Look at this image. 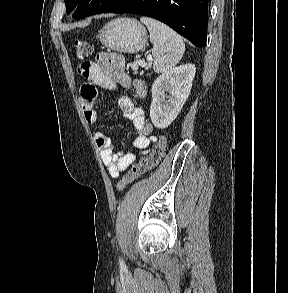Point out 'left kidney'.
<instances>
[{"instance_id": "obj_1", "label": "left kidney", "mask_w": 288, "mask_h": 293, "mask_svg": "<svg viewBox=\"0 0 288 293\" xmlns=\"http://www.w3.org/2000/svg\"><path fill=\"white\" fill-rule=\"evenodd\" d=\"M195 73L194 65L185 64L162 73L154 81L150 118L155 127L167 128L176 119L190 94Z\"/></svg>"}]
</instances>
